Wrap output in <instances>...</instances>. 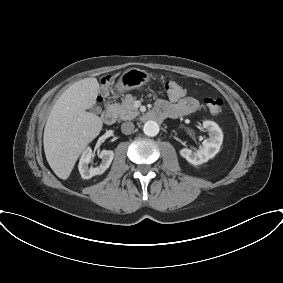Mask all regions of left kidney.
I'll return each instance as SVG.
<instances>
[{
    "instance_id": "left-kidney-1",
    "label": "left kidney",
    "mask_w": 283,
    "mask_h": 283,
    "mask_svg": "<svg viewBox=\"0 0 283 283\" xmlns=\"http://www.w3.org/2000/svg\"><path fill=\"white\" fill-rule=\"evenodd\" d=\"M203 128L209 132V138L203 141V147L200 150L197 152H193L188 148L180 150V155L194 166L201 165L206 163L209 159L214 158L220 151L223 141L222 130L215 122L204 121Z\"/></svg>"
}]
</instances>
